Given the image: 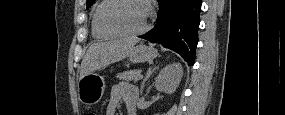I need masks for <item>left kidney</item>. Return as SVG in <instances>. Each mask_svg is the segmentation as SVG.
Segmentation results:
<instances>
[{"label":"left kidney","instance_id":"1","mask_svg":"<svg viewBox=\"0 0 285 115\" xmlns=\"http://www.w3.org/2000/svg\"><path fill=\"white\" fill-rule=\"evenodd\" d=\"M183 76V68L179 62L164 67L156 78L155 86L158 91L173 93Z\"/></svg>","mask_w":285,"mask_h":115}]
</instances>
